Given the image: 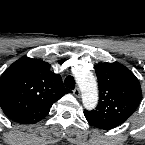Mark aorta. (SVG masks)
<instances>
[{
  "label": "aorta",
  "instance_id": "obj_1",
  "mask_svg": "<svg viewBox=\"0 0 145 145\" xmlns=\"http://www.w3.org/2000/svg\"><path fill=\"white\" fill-rule=\"evenodd\" d=\"M76 81L82 93V102L86 109H94L98 103V88L94 75L81 69L75 74Z\"/></svg>",
  "mask_w": 145,
  "mask_h": 145
}]
</instances>
